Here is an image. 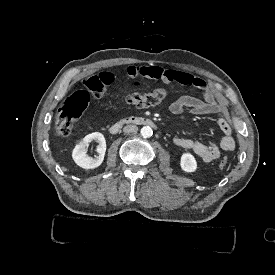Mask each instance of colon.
Segmentation results:
<instances>
[{"label": "colon", "instance_id": "5ec220e1", "mask_svg": "<svg viewBox=\"0 0 275 275\" xmlns=\"http://www.w3.org/2000/svg\"><path fill=\"white\" fill-rule=\"evenodd\" d=\"M86 86L96 97L102 96L110 89V86H106L100 81L99 74L89 77ZM165 97L166 91L159 88L149 93L131 95L126 98V102L137 107H148L162 102ZM89 102L90 94L85 89H79L71 93L55 115L56 131L61 135L71 134L75 124L86 111ZM218 163L223 169H226L229 160L225 156H220Z\"/></svg>", "mask_w": 275, "mask_h": 275}]
</instances>
